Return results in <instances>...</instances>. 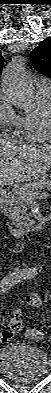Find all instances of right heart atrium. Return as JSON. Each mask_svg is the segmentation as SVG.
I'll use <instances>...</instances> for the list:
<instances>
[{
	"label": "right heart atrium",
	"instance_id": "1",
	"mask_svg": "<svg viewBox=\"0 0 51 393\" xmlns=\"http://www.w3.org/2000/svg\"><path fill=\"white\" fill-rule=\"evenodd\" d=\"M20 116L12 109L10 102L3 99L0 102V127L4 132L18 133L20 128Z\"/></svg>",
	"mask_w": 51,
	"mask_h": 393
}]
</instances>
